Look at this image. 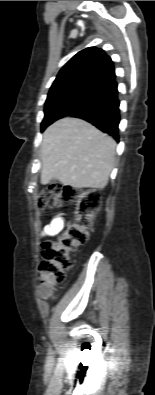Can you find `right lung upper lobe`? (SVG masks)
<instances>
[{"mask_svg":"<svg viewBox=\"0 0 155 395\" xmlns=\"http://www.w3.org/2000/svg\"><path fill=\"white\" fill-rule=\"evenodd\" d=\"M115 77L113 61L105 51L89 47L78 52L63 66L52 87L81 82L104 88Z\"/></svg>","mask_w":155,"mask_h":395,"instance_id":"cb5924a9","label":"right lung upper lobe"}]
</instances>
